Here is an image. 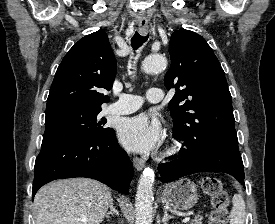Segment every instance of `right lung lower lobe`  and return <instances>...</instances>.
<instances>
[{
	"instance_id": "obj_1",
	"label": "right lung lower lobe",
	"mask_w": 275,
	"mask_h": 224,
	"mask_svg": "<svg viewBox=\"0 0 275 224\" xmlns=\"http://www.w3.org/2000/svg\"><path fill=\"white\" fill-rule=\"evenodd\" d=\"M133 165L113 129L98 139H43L34 167L32 198L44 184L61 178L88 177L127 194Z\"/></svg>"
}]
</instances>
